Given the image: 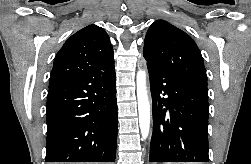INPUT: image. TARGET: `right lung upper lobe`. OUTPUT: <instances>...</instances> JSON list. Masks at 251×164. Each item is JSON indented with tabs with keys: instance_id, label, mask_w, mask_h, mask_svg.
Returning <instances> with one entry per match:
<instances>
[{
	"instance_id": "1",
	"label": "right lung upper lobe",
	"mask_w": 251,
	"mask_h": 164,
	"mask_svg": "<svg viewBox=\"0 0 251 164\" xmlns=\"http://www.w3.org/2000/svg\"><path fill=\"white\" fill-rule=\"evenodd\" d=\"M114 65L109 36L99 26L88 25L72 35L57 53L49 87L104 71Z\"/></svg>"
}]
</instances>
